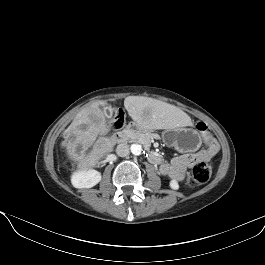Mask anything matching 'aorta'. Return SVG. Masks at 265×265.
Masks as SVG:
<instances>
[{
	"label": "aorta",
	"instance_id": "1",
	"mask_svg": "<svg viewBox=\"0 0 265 265\" xmlns=\"http://www.w3.org/2000/svg\"><path fill=\"white\" fill-rule=\"evenodd\" d=\"M130 150L132 152L133 155H140L142 153V147L139 144H132L130 147Z\"/></svg>",
	"mask_w": 265,
	"mask_h": 265
}]
</instances>
